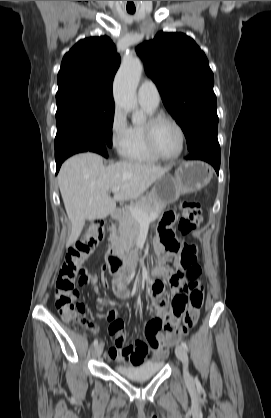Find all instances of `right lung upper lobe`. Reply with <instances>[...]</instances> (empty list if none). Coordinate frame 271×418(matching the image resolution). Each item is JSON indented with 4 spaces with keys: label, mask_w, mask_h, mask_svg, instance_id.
<instances>
[{
    "label": "right lung upper lobe",
    "mask_w": 271,
    "mask_h": 418,
    "mask_svg": "<svg viewBox=\"0 0 271 418\" xmlns=\"http://www.w3.org/2000/svg\"><path fill=\"white\" fill-rule=\"evenodd\" d=\"M120 57L107 36L80 40L65 54L58 73L56 102L114 103L112 83Z\"/></svg>",
    "instance_id": "cb5924a9"
}]
</instances>
